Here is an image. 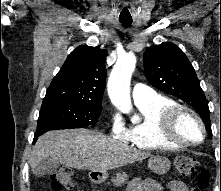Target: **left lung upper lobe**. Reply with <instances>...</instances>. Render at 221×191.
Returning <instances> with one entry per match:
<instances>
[{"instance_id":"left-lung-upper-lobe-1","label":"left lung upper lobe","mask_w":221,"mask_h":191,"mask_svg":"<svg viewBox=\"0 0 221 191\" xmlns=\"http://www.w3.org/2000/svg\"><path fill=\"white\" fill-rule=\"evenodd\" d=\"M144 75L157 89L192 105L212 136L208 102L192 64L175 44L163 42L144 52Z\"/></svg>"}]
</instances>
